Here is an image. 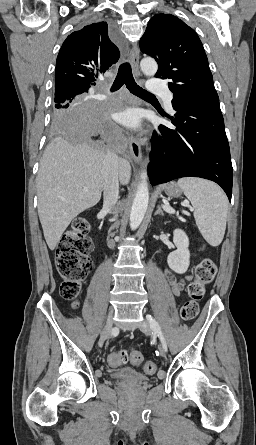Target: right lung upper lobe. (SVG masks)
I'll return each mask as SVG.
<instances>
[{
	"instance_id": "obj_1",
	"label": "right lung upper lobe",
	"mask_w": 256,
	"mask_h": 445,
	"mask_svg": "<svg viewBox=\"0 0 256 445\" xmlns=\"http://www.w3.org/2000/svg\"><path fill=\"white\" fill-rule=\"evenodd\" d=\"M120 57L106 22L93 23L70 34L56 60L55 96L87 93L98 76Z\"/></svg>"
}]
</instances>
